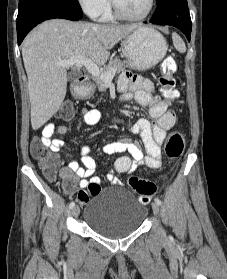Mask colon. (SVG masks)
<instances>
[{
	"mask_svg": "<svg viewBox=\"0 0 227 279\" xmlns=\"http://www.w3.org/2000/svg\"><path fill=\"white\" fill-rule=\"evenodd\" d=\"M176 71L177 63L173 57H166L162 60L161 71L158 74V84L160 86L161 95L168 100H174L179 95L174 78ZM72 113L73 107L71 105L63 104L61 106L60 116L62 119L69 118ZM184 145V136L180 132H171L164 147L166 157L170 160L178 159L183 153ZM30 154L39 163L45 176L49 179H54L57 157L54 153L46 149L43 139H36L31 142ZM128 184L138 195L139 201L142 204L147 203L157 191L155 183L137 176L129 177ZM65 188L67 191H72L73 183H69ZM99 188L100 186L97 183H92L89 187V192L94 193L98 191ZM87 196L88 194L83 191H79L77 194V198H86Z\"/></svg>",
	"mask_w": 227,
	"mask_h": 279,
	"instance_id": "5ec220e1",
	"label": "colon"
}]
</instances>
